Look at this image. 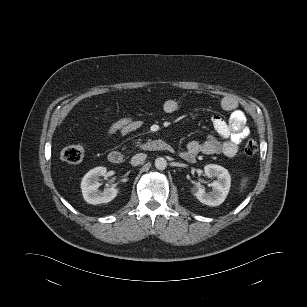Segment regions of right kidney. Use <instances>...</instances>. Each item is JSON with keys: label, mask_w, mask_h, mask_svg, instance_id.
I'll return each mask as SVG.
<instances>
[{"label": "right kidney", "mask_w": 307, "mask_h": 307, "mask_svg": "<svg viewBox=\"0 0 307 307\" xmlns=\"http://www.w3.org/2000/svg\"><path fill=\"white\" fill-rule=\"evenodd\" d=\"M106 167L100 166L91 169L85 174L81 182V190L84 200L93 205L108 203L112 201L118 194L119 189L107 188L104 191H99L100 183L98 182L101 176H106Z\"/></svg>", "instance_id": "1"}]
</instances>
